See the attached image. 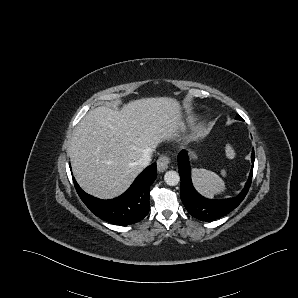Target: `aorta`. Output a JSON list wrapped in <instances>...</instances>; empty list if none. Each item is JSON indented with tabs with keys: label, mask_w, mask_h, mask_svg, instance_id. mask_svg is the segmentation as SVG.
<instances>
[{
	"label": "aorta",
	"mask_w": 298,
	"mask_h": 298,
	"mask_svg": "<svg viewBox=\"0 0 298 298\" xmlns=\"http://www.w3.org/2000/svg\"><path fill=\"white\" fill-rule=\"evenodd\" d=\"M164 182L169 186H176L180 182V175L175 170H168L164 174Z\"/></svg>",
	"instance_id": "762f6f07"
}]
</instances>
